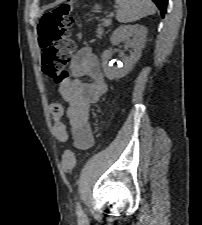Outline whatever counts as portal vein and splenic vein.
<instances>
[{
	"label": "portal vein and splenic vein",
	"instance_id": "18ae733b",
	"mask_svg": "<svg viewBox=\"0 0 202 225\" xmlns=\"http://www.w3.org/2000/svg\"><path fill=\"white\" fill-rule=\"evenodd\" d=\"M106 22H107L108 24H110V23H111V19H110V18H107V19H106Z\"/></svg>",
	"mask_w": 202,
	"mask_h": 225
}]
</instances>
